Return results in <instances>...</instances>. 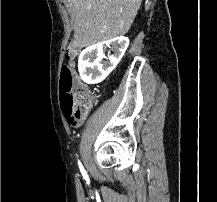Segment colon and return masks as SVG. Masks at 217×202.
Listing matches in <instances>:
<instances>
[{"label": "colon", "instance_id": "5ec220e1", "mask_svg": "<svg viewBox=\"0 0 217 202\" xmlns=\"http://www.w3.org/2000/svg\"><path fill=\"white\" fill-rule=\"evenodd\" d=\"M79 47H67L64 60H72V55H77ZM80 63H66V67H61V101L64 108L63 117H68L69 125L73 128H82L83 124L78 123L84 111H91V104L96 103V93H78L85 91L84 80H77L80 72ZM80 108V109H79Z\"/></svg>", "mask_w": 217, "mask_h": 202}]
</instances>
